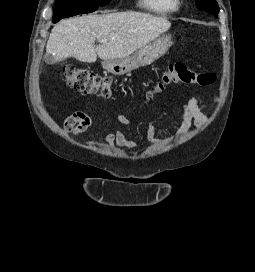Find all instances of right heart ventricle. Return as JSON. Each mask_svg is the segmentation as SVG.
Listing matches in <instances>:
<instances>
[{"instance_id":"e07e8e85","label":"right heart ventricle","mask_w":255,"mask_h":272,"mask_svg":"<svg viewBox=\"0 0 255 272\" xmlns=\"http://www.w3.org/2000/svg\"><path fill=\"white\" fill-rule=\"evenodd\" d=\"M139 6L150 13L169 15L178 11L180 3L179 0H139Z\"/></svg>"}]
</instances>
